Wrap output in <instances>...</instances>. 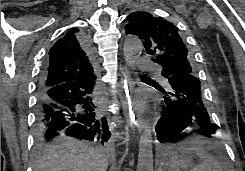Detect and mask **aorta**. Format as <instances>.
<instances>
[{
    "mask_svg": "<svg viewBox=\"0 0 245 171\" xmlns=\"http://www.w3.org/2000/svg\"><path fill=\"white\" fill-rule=\"evenodd\" d=\"M142 49L143 46L139 39H129L124 43V58L128 66L135 65ZM141 128L137 171H153L152 130L146 121L142 123Z\"/></svg>",
    "mask_w": 245,
    "mask_h": 171,
    "instance_id": "obj_1",
    "label": "aorta"
}]
</instances>
